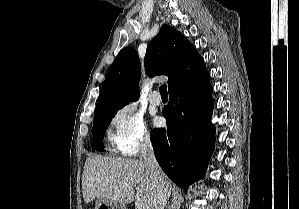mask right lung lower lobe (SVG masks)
<instances>
[{
	"label": "right lung lower lobe",
	"mask_w": 299,
	"mask_h": 209,
	"mask_svg": "<svg viewBox=\"0 0 299 209\" xmlns=\"http://www.w3.org/2000/svg\"><path fill=\"white\" fill-rule=\"evenodd\" d=\"M212 91L208 72L170 90L169 103L163 109L167 128L154 129L150 136L159 165L186 190L203 177L214 149Z\"/></svg>",
	"instance_id": "1"
}]
</instances>
